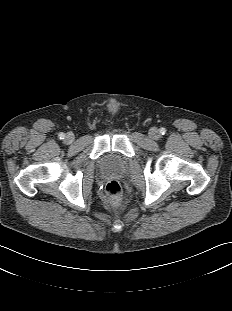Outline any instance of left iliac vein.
Masks as SVG:
<instances>
[{
  "instance_id": "1",
  "label": "left iliac vein",
  "mask_w": 232,
  "mask_h": 311,
  "mask_svg": "<svg viewBox=\"0 0 232 311\" xmlns=\"http://www.w3.org/2000/svg\"><path fill=\"white\" fill-rule=\"evenodd\" d=\"M149 136H150L151 139L157 140V139L160 137V134H159L158 129L155 128V127H154V128H151V129L149 130Z\"/></svg>"
}]
</instances>
